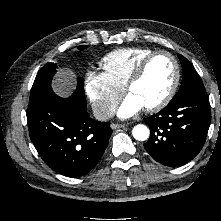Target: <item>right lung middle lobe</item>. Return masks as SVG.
<instances>
[{
    "label": "right lung middle lobe",
    "instance_id": "right-lung-middle-lobe-1",
    "mask_svg": "<svg viewBox=\"0 0 221 221\" xmlns=\"http://www.w3.org/2000/svg\"><path fill=\"white\" fill-rule=\"evenodd\" d=\"M87 45L79 46L80 50L87 48ZM57 66L53 63H47L38 73L33 83L30 97L38 96L39 94L46 92L48 89H51V79L53 75L56 73ZM84 79L78 78V90L81 93H84Z\"/></svg>",
    "mask_w": 221,
    "mask_h": 221
}]
</instances>
